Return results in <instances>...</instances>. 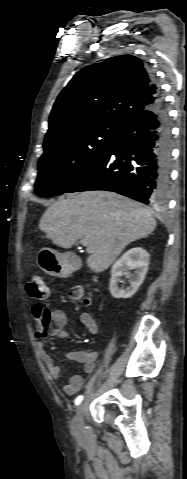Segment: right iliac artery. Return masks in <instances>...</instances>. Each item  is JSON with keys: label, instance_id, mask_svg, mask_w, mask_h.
I'll return each mask as SVG.
<instances>
[{"label": "right iliac artery", "instance_id": "right-iliac-artery-1", "mask_svg": "<svg viewBox=\"0 0 187 479\" xmlns=\"http://www.w3.org/2000/svg\"><path fill=\"white\" fill-rule=\"evenodd\" d=\"M82 400H83V396L82 395L78 396L75 399V405H79L82 402Z\"/></svg>", "mask_w": 187, "mask_h": 479}]
</instances>
